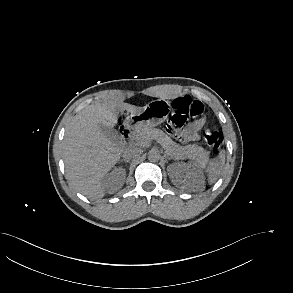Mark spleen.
I'll return each instance as SVG.
<instances>
[{"label":"spleen","instance_id":"3e777b00","mask_svg":"<svg viewBox=\"0 0 293 293\" xmlns=\"http://www.w3.org/2000/svg\"><path fill=\"white\" fill-rule=\"evenodd\" d=\"M225 166V151L222 150L219 152V154L212 159L207 168H206V173H207V178L209 184L214 183L222 174Z\"/></svg>","mask_w":293,"mask_h":293}]
</instances>
